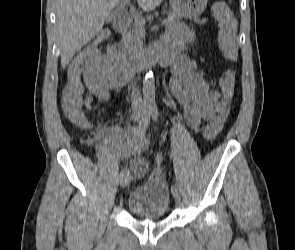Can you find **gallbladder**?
Segmentation results:
<instances>
[{"label": "gallbladder", "mask_w": 295, "mask_h": 250, "mask_svg": "<svg viewBox=\"0 0 295 250\" xmlns=\"http://www.w3.org/2000/svg\"><path fill=\"white\" fill-rule=\"evenodd\" d=\"M110 20H111V17L108 18V21H110Z\"/></svg>", "instance_id": "1"}]
</instances>
